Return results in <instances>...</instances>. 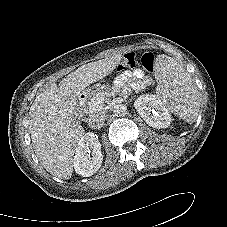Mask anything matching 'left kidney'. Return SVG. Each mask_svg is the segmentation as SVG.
Instances as JSON below:
<instances>
[{"mask_svg": "<svg viewBox=\"0 0 227 227\" xmlns=\"http://www.w3.org/2000/svg\"><path fill=\"white\" fill-rule=\"evenodd\" d=\"M134 107L143 120L153 128H167L172 122L168 109L156 95L139 96L134 102Z\"/></svg>", "mask_w": 227, "mask_h": 227, "instance_id": "left-kidney-1", "label": "left kidney"}]
</instances>
